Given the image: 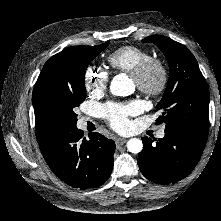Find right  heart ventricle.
<instances>
[{"label": "right heart ventricle", "mask_w": 221, "mask_h": 221, "mask_svg": "<svg viewBox=\"0 0 221 221\" xmlns=\"http://www.w3.org/2000/svg\"><path fill=\"white\" fill-rule=\"evenodd\" d=\"M152 55L145 49L136 46H122L110 52L106 58L111 69L131 75L143 62Z\"/></svg>", "instance_id": "e07e8e85"}]
</instances>
